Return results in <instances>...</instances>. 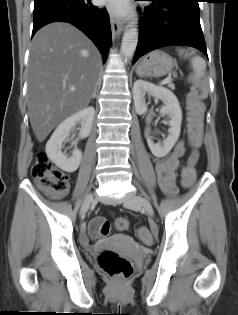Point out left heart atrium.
<instances>
[{
    "instance_id": "1",
    "label": "left heart atrium",
    "mask_w": 238,
    "mask_h": 315,
    "mask_svg": "<svg viewBox=\"0 0 238 315\" xmlns=\"http://www.w3.org/2000/svg\"><path fill=\"white\" fill-rule=\"evenodd\" d=\"M105 5L115 13L124 14L127 11V0H104Z\"/></svg>"
}]
</instances>
